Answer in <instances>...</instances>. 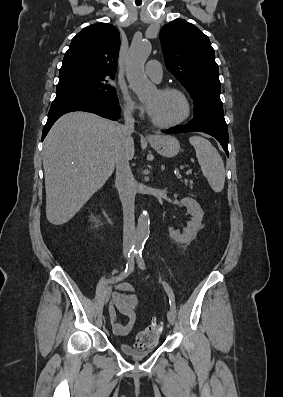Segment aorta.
Listing matches in <instances>:
<instances>
[{"label": "aorta", "mask_w": 283, "mask_h": 397, "mask_svg": "<svg viewBox=\"0 0 283 397\" xmlns=\"http://www.w3.org/2000/svg\"><path fill=\"white\" fill-rule=\"evenodd\" d=\"M151 53V45L147 41L134 42L129 50L127 60V79L133 92L139 99L146 98L155 90V86L148 80L144 65ZM150 217L147 210H142L135 230L133 248L141 250L149 237Z\"/></svg>", "instance_id": "1"}]
</instances>
